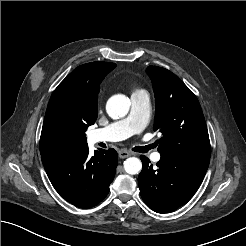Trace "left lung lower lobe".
<instances>
[{
    "label": "left lung lower lobe",
    "instance_id": "0a47b994",
    "mask_svg": "<svg viewBox=\"0 0 246 246\" xmlns=\"http://www.w3.org/2000/svg\"><path fill=\"white\" fill-rule=\"evenodd\" d=\"M143 168L138 176L144 202L158 213H169L187 203L199 188L210 157L184 153H162L154 168L141 155Z\"/></svg>",
    "mask_w": 246,
    "mask_h": 246
}]
</instances>
